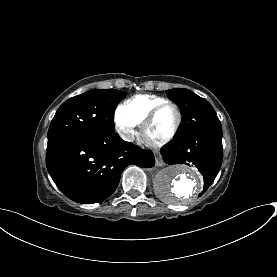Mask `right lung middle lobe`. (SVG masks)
<instances>
[{"mask_svg": "<svg viewBox=\"0 0 277 277\" xmlns=\"http://www.w3.org/2000/svg\"><path fill=\"white\" fill-rule=\"evenodd\" d=\"M125 96L115 89H93L68 99L51 121L48 143L74 135L114 132V112Z\"/></svg>", "mask_w": 277, "mask_h": 277, "instance_id": "1", "label": "right lung middle lobe"}]
</instances>
